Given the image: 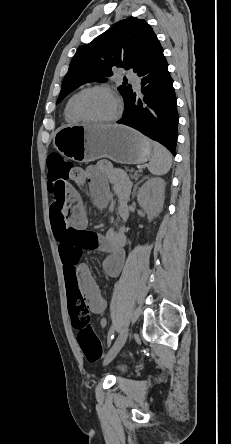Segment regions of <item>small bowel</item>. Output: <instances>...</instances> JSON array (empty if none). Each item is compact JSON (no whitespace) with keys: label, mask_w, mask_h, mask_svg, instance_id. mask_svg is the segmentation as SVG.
I'll list each match as a JSON object with an SVG mask.
<instances>
[{"label":"small bowel","mask_w":231,"mask_h":444,"mask_svg":"<svg viewBox=\"0 0 231 444\" xmlns=\"http://www.w3.org/2000/svg\"><path fill=\"white\" fill-rule=\"evenodd\" d=\"M75 185L89 184L94 203L104 207L110 197V187L117 196L118 223L106 233L100 234L87 229V217L78 191L70 183L60 190L58 198L50 208V223L55 239L59 244V254L63 264L67 289L73 287L80 292L88 310L100 314L106 309V300L92 274L81 262L83 250H99L105 253L103 269L111 277L120 273L124 262L126 236L123 222L127 218V199L130 183L126 176L115 171L110 164L101 162L87 170H79L70 179ZM106 321L101 320L105 326Z\"/></svg>","instance_id":"small-bowel-1"}]
</instances>
